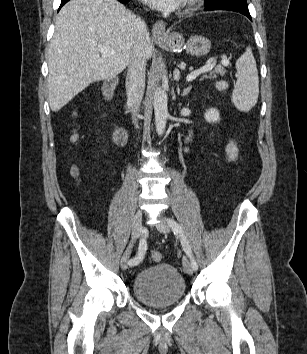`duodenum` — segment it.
Returning <instances> with one entry per match:
<instances>
[{
  "label": "duodenum",
  "instance_id": "1",
  "mask_svg": "<svg viewBox=\"0 0 307 354\" xmlns=\"http://www.w3.org/2000/svg\"><path fill=\"white\" fill-rule=\"evenodd\" d=\"M118 84L117 78H110L104 82L102 93L104 100L109 104L111 110L117 116V107L114 103L115 90ZM113 136L119 144H126L128 141L127 129L120 123V121L115 119L113 123Z\"/></svg>",
  "mask_w": 307,
  "mask_h": 354
}]
</instances>
